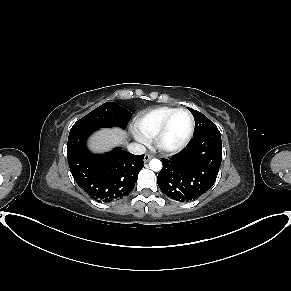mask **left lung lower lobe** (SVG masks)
Listing matches in <instances>:
<instances>
[{"label":"left lung lower lobe","mask_w":291,"mask_h":291,"mask_svg":"<svg viewBox=\"0 0 291 291\" xmlns=\"http://www.w3.org/2000/svg\"><path fill=\"white\" fill-rule=\"evenodd\" d=\"M222 161L219 130L193 137L188 145L169 159H162L157 176L160 190L180 201H192L206 193L215 183Z\"/></svg>","instance_id":"0a47b994"}]
</instances>
